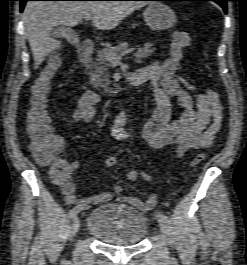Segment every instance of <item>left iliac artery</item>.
<instances>
[{
	"label": "left iliac artery",
	"mask_w": 247,
	"mask_h": 265,
	"mask_svg": "<svg viewBox=\"0 0 247 265\" xmlns=\"http://www.w3.org/2000/svg\"><path fill=\"white\" fill-rule=\"evenodd\" d=\"M158 217L161 218V219H163V220H165V221L168 220V217L165 214L160 213V212L158 213Z\"/></svg>",
	"instance_id": "obj_1"
}]
</instances>
